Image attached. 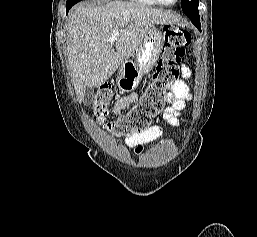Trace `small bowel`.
<instances>
[{"label": "small bowel", "mask_w": 257, "mask_h": 237, "mask_svg": "<svg viewBox=\"0 0 257 237\" xmlns=\"http://www.w3.org/2000/svg\"><path fill=\"white\" fill-rule=\"evenodd\" d=\"M185 79H190L192 71L188 66L183 67ZM139 95L132 93L128 96L117 97L112 108L113 114H119L124 108L138 100ZM191 98L188 85L184 80H177L171 87L170 92L166 96V101L169 104L163 111L158 120L165 121L168 125L178 127L181 125L182 112L185 109L186 101ZM163 133V127L159 124H154L146 130L135 133L126 139V145L134 148L137 153L142 151V146L145 143L158 139Z\"/></svg>", "instance_id": "1"}]
</instances>
